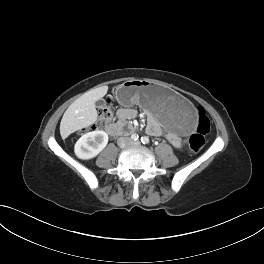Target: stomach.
<instances>
[{"label":"stomach","instance_id":"0dacf381","mask_svg":"<svg viewBox=\"0 0 264 264\" xmlns=\"http://www.w3.org/2000/svg\"><path fill=\"white\" fill-rule=\"evenodd\" d=\"M119 93L123 104L138 105L176 135L187 137L193 133L196 123L193 108L170 88L148 79H133L121 84Z\"/></svg>","mask_w":264,"mask_h":264}]
</instances>
